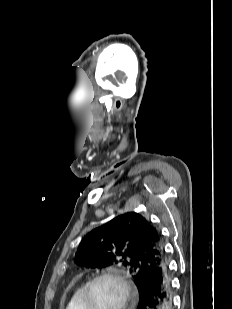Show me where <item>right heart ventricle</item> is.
Here are the masks:
<instances>
[{
  "label": "right heart ventricle",
  "instance_id": "1",
  "mask_svg": "<svg viewBox=\"0 0 232 309\" xmlns=\"http://www.w3.org/2000/svg\"><path fill=\"white\" fill-rule=\"evenodd\" d=\"M85 284L80 285L75 289L73 294L71 295L69 302L66 306V309H84L82 303V295L84 291Z\"/></svg>",
  "mask_w": 232,
  "mask_h": 309
}]
</instances>
